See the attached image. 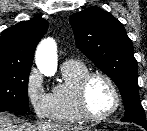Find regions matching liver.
I'll use <instances>...</instances> for the list:
<instances>
[{
	"mask_svg": "<svg viewBox=\"0 0 147 131\" xmlns=\"http://www.w3.org/2000/svg\"><path fill=\"white\" fill-rule=\"evenodd\" d=\"M86 129V127L82 126L50 123H40L37 125L23 123L16 125L11 121L9 113H0V131H84Z\"/></svg>",
	"mask_w": 147,
	"mask_h": 131,
	"instance_id": "liver-1",
	"label": "liver"
}]
</instances>
